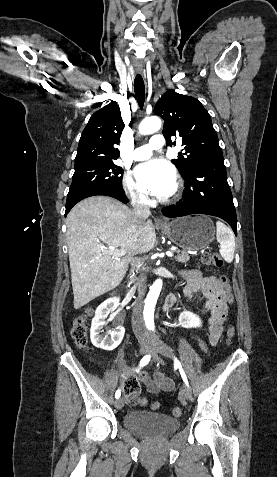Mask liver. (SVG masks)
Returning a JSON list of instances; mask_svg holds the SVG:
<instances>
[{
    "instance_id": "liver-1",
    "label": "liver",
    "mask_w": 277,
    "mask_h": 477,
    "mask_svg": "<svg viewBox=\"0 0 277 477\" xmlns=\"http://www.w3.org/2000/svg\"><path fill=\"white\" fill-rule=\"evenodd\" d=\"M66 225L75 309L117 287L131 257L150 251L156 242L151 220H140L127 206L105 196L76 204ZM118 247L127 255L115 261L110 248Z\"/></svg>"
}]
</instances>
